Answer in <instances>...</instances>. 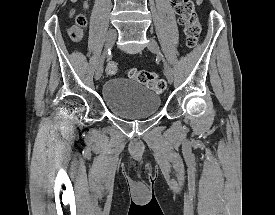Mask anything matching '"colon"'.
I'll return each mask as SVG.
<instances>
[{
	"mask_svg": "<svg viewBox=\"0 0 275 215\" xmlns=\"http://www.w3.org/2000/svg\"><path fill=\"white\" fill-rule=\"evenodd\" d=\"M174 8L179 16V23L185 27L186 44L192 48L198 41L200 35V24L195 10V0H173ZM73 25L69 30V36L73 41H80L83 35V29L87 20L82 13L72 12ZM118 66L115 62H109L106 67L108 74L116 73ZM131 78L140 84L145 85L150 90L162 93L166 89L165 81L156 73L149 70H138L131 68L128 71Z\"/></svg>",
	"mask_w": 275,
	"mask_h": 215,
	"instance_id": "obj_1",
	"label": "colon"
}]
</instances>
